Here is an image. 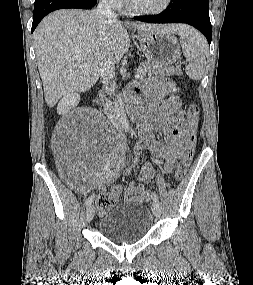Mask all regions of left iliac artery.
Returning <instances> with one entry per match:
<instances>
[{"label":"left iliac artery","instance_id":"1","mask_svg":"<svg viewBox=\"0 0 253 285\" xmlns=\"http://www.w3.org/2000/svg\"><path fill=\"white\" fill-rule=\"evenodd\" d=\"M151 198L153 201H159L158 195L155 192H152Z\"/></svg>","mask_w":253,"mask_h":285}]
</instances>
